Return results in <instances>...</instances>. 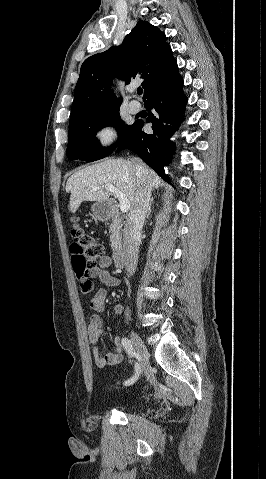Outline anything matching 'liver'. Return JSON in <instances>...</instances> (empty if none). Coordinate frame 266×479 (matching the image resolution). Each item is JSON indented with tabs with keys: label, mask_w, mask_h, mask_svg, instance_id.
Wrapping results in <instances>:
<instances>
[{
	"label": "liver",
	"mask_w": 266,
	"mask_h": 479,
	"mask_svg": "<svg viewBox=\"0 0 266 479\" xmlns=\"http://www.w3.org/2000/svg\"><path fill=\"white\" fill-rule=\"evenodd\" d=\"M152 187L158 188L161 179L146 168ZM113 185L129 200L132 208L136 191L137 175L133 162L125 159H106L72 174L66 183V192L71 193L69 209L75 213L83 201H108L110 193L105 185ZM93 187H99L94 190Z\"/></svg>",
	"instance_id": "6515ba94"
}]
</instances>
